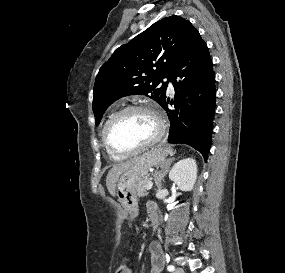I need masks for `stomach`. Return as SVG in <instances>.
Listing matches in <instances>:
<instances>
[{"label":"stomach","mask_w":285,"mask_h":273,"mask_svg":"<svg viewBox=\"0 0 285 273\" xmlns=\"http://www.w3.org/2000/svg\"><path fill=\"white\" fill-rule=\"evenodd\" d=\"M168 151L163 148H155L144 153L139 159L118 178L115 190L122 206L133 216L137 209V185L146 177L150 168L161 164Z\"/></svg>","instance_id":"stomach-1"}]
</instances>
